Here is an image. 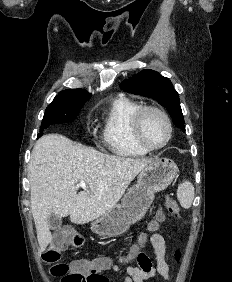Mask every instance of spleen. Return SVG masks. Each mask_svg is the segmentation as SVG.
I'll list each match as a JSON object with an SVG mask.
<instances>
[{
    "label": "spleen",
    "mask_w": 232,
    "mask_h": 282,
    "mask_svg": "<svg viewBox=\"0 0 232 282\" xmlns=\"http://www.w3.org/2000/svg\"><path fill=\"white\" fill-rule=\"evenodd\" d=\"M194 195V186L191 182L183 181V183L178 186L177 198L183 208L188 209L191 207Z\"/></svg>",
    "instance_id": "3e777b00"
}]
</instances>
